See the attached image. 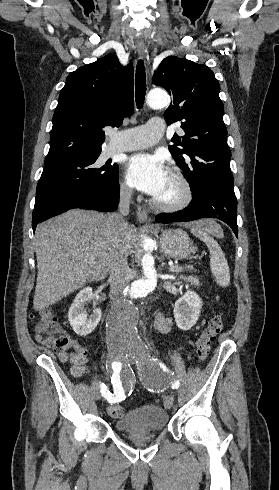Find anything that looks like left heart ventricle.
<instances>
[{
    "instance_id": "1",
    "label": "left heart ventricle",
    "mask_w": 279,
    "mask_h": 490,
    "mask_svg": "<svg viewBox=\"0 0 279 490\" xmlns=\"http://www.w3.org/2000/svg\"><path fill=\"white\" fill-rule=\"evenodd\" d=\"M181 196V188L169 174V181L165 193L159 199L166 202L175 201Z\"/></svg>"
}]
</instances>
